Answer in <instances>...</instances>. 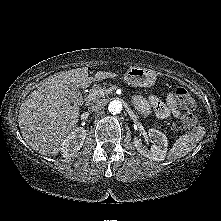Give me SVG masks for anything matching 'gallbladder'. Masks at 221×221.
Listing matches in <instances>:
<instances>
[{
  "label": "gallbladder",
  "instance_id": "bac80fb5",
  "mask_svg": "<svg viewBox=\"0 0 221 221\" xmlns=\"http://www.w3.org/2000/svg\"><path fill=\"white\" fill-rule=\"evenodd\" d=\"M80 96L81 95H80L79 89L74 86H71L69 93H68V98L72 102L77 103L80 100Z\"/></svg>",
  "mask_w": 221,
  "mask_h": 221
}]
</instances>
